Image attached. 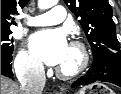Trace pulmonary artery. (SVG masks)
Instances as JSON below:
<instances>
[{"mask_svg":"<svg viewBox=\"0 0 121 94\" xmlns=\"http://www.w3.org/2000/svg\"><path fill=\"white\" fill-rule=\"evenodd\" d=\"M66 14V9L63 6H55L47 13L31 17L28 24L30 26L55 25L63 22Z\"/></svg>","mask_w":121,"mask_h":94,"instance_id":"e3ab8cb5","label":"pulmonary artery"}]
</instances>
